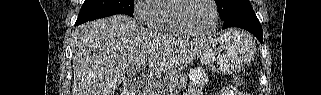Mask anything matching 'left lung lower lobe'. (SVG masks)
<instances>
[{"instance_id": "obj_1", "label": "left lung lower lobe", "mask_w": 321, "mask_h": 95, "mask_svg": "<svg viewBox=\"0 0 321 95\" xmlns=\"http://www.w3.org/2000/svg\"><path fill=\"white\" fill-rule=\"evenodd\" d=\"M224 20L223 28L239 27L251 32L262 43L263 31L252 6L244 7L232 12Z\"/></svg>"}]
</instances>
